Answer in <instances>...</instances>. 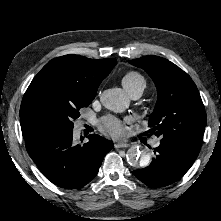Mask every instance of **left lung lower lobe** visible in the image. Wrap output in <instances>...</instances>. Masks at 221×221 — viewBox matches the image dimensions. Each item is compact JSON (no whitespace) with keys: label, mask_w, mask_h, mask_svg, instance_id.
Segmentation results:
<instances>
[{"label":"left lung lower lobe","mask_w":221,"mask_h":221,"mask_svg":"<svg viewBox=\"0 0 221 221\" xmlns=\"http://www.w3.org/2000/svg\"><path fill=\"white\" fill-rule=\"evenodd\" d=\"M154 153L149 166L133 171L139 180L151 188L168 186L178 181L197 158L176 147L161 143L154 149Z\"/></svg>","instance_id":"0a47b994"}]
</instances>
